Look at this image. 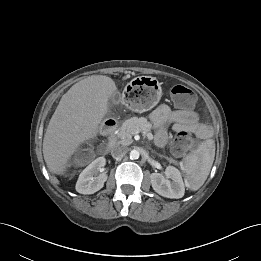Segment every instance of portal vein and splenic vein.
<instances>
[{
	"label": "portal vein and splenic vein",
	"instance_id": "portal-vein-and-splenic-vein-1",
	"mask_svg": "<svg viewBox=\"0 0 261 261\" xmlns=\"http://www.w3.org/2000/svg\"><path fill=\"white\" fill-rule=\"evenodd\" d=\"M139 132L140 131H137L136 134L139 133ZM143 135L147 136L148 139H150V140L153 139V135L151 133H146L145 131H143Z\"/></svg>",
	"mask_w": 261,
	"mask_h": 261
}]
</instances>
